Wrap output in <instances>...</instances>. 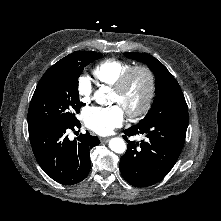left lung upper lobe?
I'll list each match as a JSON object with an SVG mask.
<instances>
[{
  "label": "left lung upper lobe",
  "mask_w": 221,
  "mask_h": 221,
  "mask_svg": "<svg viewBox=\"0 0 221 221\" xmlns=\"http://www.w3.org/2000/svg\"><path fill=\"white\" fill-rule=\"evenodd\" d=\"M130 59L143 62L148 65L156 77L155 94L152 107L139 124L151 121H161L168 117L183 95L178 82L168 69L156 58L146 53H124Z\"/></svg>",
  "instance_id": "obj_1"
}]
</instances>
